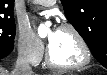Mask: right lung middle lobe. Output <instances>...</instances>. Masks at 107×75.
I'll return each instance as SVG.
<instances>
[{"instance_id":"obj_1","label":"right lung middle lobe","mask_w":107,"mask_h":75,"mask_svg":"<svg viewBox=\"0 0 107 75\" xmlns=\"http://www.w3.org/2000/svg\"><path fill=\"white\" fill-rule=\"evenodd\" d=\"M15 38L14 18H0V49H13Z\"/></svg>"}]
</instances>
